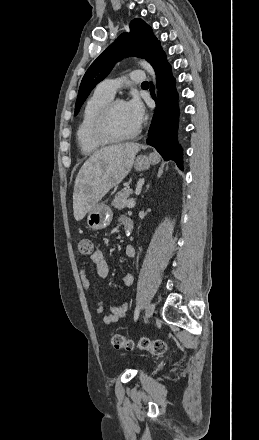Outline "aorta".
<instances>
[{
  "mask_svg": "<svg viewBox=\"0 0 259 440\" xmlns=\"http://www.w3.org/2000/svg\"><path fill=\"white\" fill-rule=\"evenodd\" d=\"M139 64L141 65V67L143 69H145L152 76L153 82L156 84V79H155L156 76H155V72H154L153 67L147 61H145V60H141L139 62Z\"/></svg>",
  "mask_w": 259,
  "mask_h": 440,
  "instance_id": "aorta-1",
  "label": "aorta"
}]
</instances>
